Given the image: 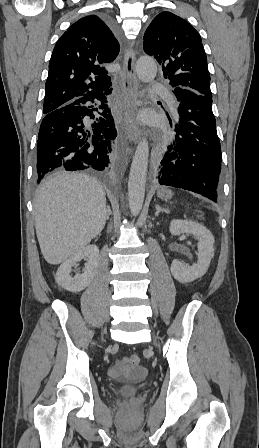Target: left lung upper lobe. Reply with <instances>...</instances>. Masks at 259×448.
Here are the masks:
<instances>
[{
  "instance_id": "left-lung-upper-lobe-1",
  "label": "left lung upper lobe",
  "mask_w": 259,
  "mask_h": 448,
  "mask_svg": "<svg viewBox=\"0 0 259 448\" xmlns=\"http://www.w3.org/2000/svg\"><path fill=\"white\" fill-rule=\"evenodd\" d=\"M144 51L162 64L172 87L212 98L207 56L199 33L184 19L161 12L144 34Z\"/></svg>"
}]
</instances>
